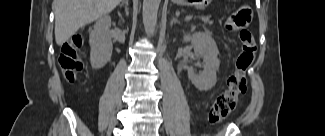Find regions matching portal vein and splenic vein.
I'll return each mask as SVG.
<instances>
[{
  "instance_id": "portal-vein-and-splenic-vein-1",
  "label": "portal vein and splenic vein",
  "mask_w": 325,
  "mask_h": 136,
  "mask_svg": "<svg viewBox=\"0 0 325 136\" xmlns=\"http://www.w3.org/2000/svg\"><path fill=\"white\" fill-rule=\"evenodd\" d=\"M190 19H192V15H187L186 18H185L186 21H188Z\"/></svg>"
}]
</instances>
